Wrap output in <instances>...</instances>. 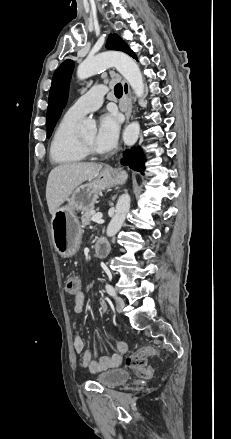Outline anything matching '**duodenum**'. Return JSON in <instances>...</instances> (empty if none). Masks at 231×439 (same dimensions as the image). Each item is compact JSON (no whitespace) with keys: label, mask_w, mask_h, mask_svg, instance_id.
<instances>
[{"label":"duodenum","mask_w":231,"mask_h":439,"mask_svg":"<svg viewBox=\"0 0 231 439\" xmlns=\"http://www.w3.org/2000/svg\"><path fill=\"white\" fill-rule=\"evenodd\" d=\"M109 251H110V244L106 239L102 238L96 242L94 248L96 257L103 258L108 255Z\"/></svg>","instance_id":"duodenum-1"}]
</instances>
